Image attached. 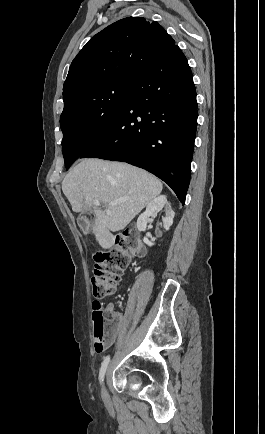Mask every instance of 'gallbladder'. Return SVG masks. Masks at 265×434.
I'll use <instances>...</instances> for the list:
<instances>
[{
	"label": "gallbladder",
	"instance_id": "bac80fb5",
	"mask_svg": "<svg viewBox=\"0 0 265 434\" xmlns=\"http://www.w3.org/2000/svg\"><path fill=\"white\" fill-rule=\"evenodd\" d=\"M77 221H78V224L81 226L82 231H84V232L89 231L90 226H89V224H87V221L84 219L83 215H78Z\"/></svg>",
	"mask_w": 265,
	"mask_h": 434
}]
</instances>
